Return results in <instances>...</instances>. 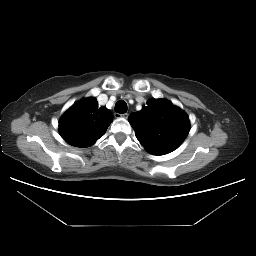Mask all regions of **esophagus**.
<instances>
[{
  "label": "esophagus",
  "mask_w": 256,
  "mask_h": 256,
  "mask_svg": "<svg viewBox=\"0 0 256 256\" xmlns=\"http://www.w3.org/2000/svg\"><path fill=\"white\" fill-rule=\"evenodd\" d=\"M115 116H117V118H128L129 114L128 113H124V114H118L116 113Z\"/></svg>",
  "instance_id": "obj_1"
}]
</instances>
